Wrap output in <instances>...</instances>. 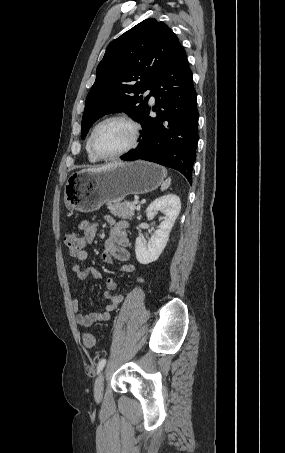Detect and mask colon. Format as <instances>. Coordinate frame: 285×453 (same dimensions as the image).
<instances>
[{
    "label": "colon",
    "instance_id": "colon-1",
    "mask_svg": "<svg viewBox=\"0 0 285 453\" xmlns=\"http://www.w3.org/2000/svg\"><path fill=\"white\" fill-rule=\"evenodd\" d=\"M64 244L67 247L69 256L77 258L85 247V239L76 232H70L65 235ZM82 342L87 349H93L96 343L95 337L90 332L83 334Z\"/></svg>",
    "mask_w": 285,
    "mask_h": 453
}]
</instances>
